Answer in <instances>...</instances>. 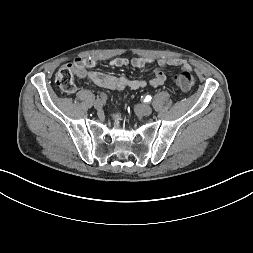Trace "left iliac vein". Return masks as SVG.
Wrapping results in <instances>:
<instances>
[{
  "instance_id": "1",
  "label": "left iliac vein",
  "mask_w": 253,
  "mask_h": 253,
  "mask_svg": "<svg viewBox=\"0 0 253 253\" xmlns=\"http://www.w3.org/2000/svg\"><path fill=\"white\" fill-rule=\"evenodd\" d=\"M136 111L143 116H149L152 113V107L146 103L136 105Z\"/></svg>"
}]
</instances>
